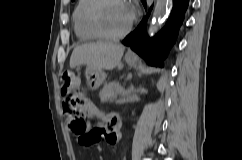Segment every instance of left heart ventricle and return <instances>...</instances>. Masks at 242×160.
<instances>
[{
    "instance_id": "1",
    "label": "left heart ventricle",
    "mask_w": 242,
    "mask_h": 160,
    "mask_svg": "<svg viewBox=\"0 0 242 160\" xmlns=\"http://www.w3.org/2000/svg\"><path fill=\"white\" fill-rule=\"evenodd\" d=\"M132 9L125 0H105L98 11V22L109 34H119L128 26Z\"/></svg>"
}]
</instances>
